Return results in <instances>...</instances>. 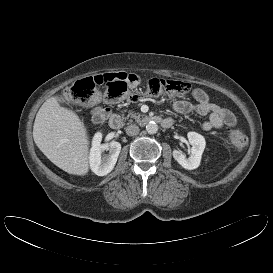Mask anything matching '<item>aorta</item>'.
I'll return each mask as SVG.
<instances>
[{
    "label": "aorta",
    "mask_w": 273,
    "mask_h": 273,
    "mask_svg": "<svg viewBox=\"0 0 273 273\" xmlns=\"http://www.w3.org/2000/svg\"><path fill=\"white\" fill-rule=\"evenodd\" d=\"M146 131L149 134H156L158 131V125L155 122L151 121L146 125Z\"/></svg>",
    "instance_id": "1"
}]
</instances>
